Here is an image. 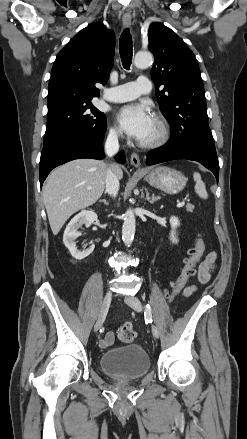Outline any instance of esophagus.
<instances>
[{
    "instance_id": "34e87169",
    "label": "esophagus",
    "mask_w": 247,
    "mask_h": 439,
    "mask_svg": "<svg viewBox=\"0 0 247 439\" xmlns=\"http://www.w3.org/2000/svg\"><path fill=\"white\" fill-rule=\"evenodd\" d=\"M122 22H123L124 27H126V28L129 27L131 25V16L128 14L123 15ZM130 163L132 166H134L136 168H140L141 163H140V158H139L138 154H136V153L131 154Z\"/></svg>"
}]
</instances>
